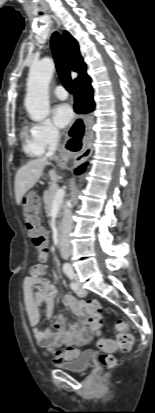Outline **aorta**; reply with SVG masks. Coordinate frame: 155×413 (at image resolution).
<instances>
[{"label":"aorta","instance_id":"762f6f07","mask_svg":"<svg viewBox=\"0 0 155 413\" xmlns=\"http://www.w3.org/2000/svg\"><path fill=\"white\" fill-rule=\"evenodd\" d=\"M54 73V62L44 58L30 67L25 107L33 121H42L49 115L48 87ZM65 267H70L65 264Z\"/></svg>","mask_w":155,"mask_h":413}]
</instances>
